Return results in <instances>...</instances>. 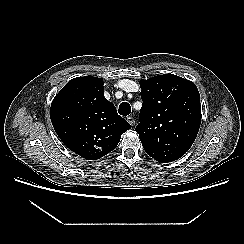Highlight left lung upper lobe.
I'll return each mask as SVG.
<instances>
[{
  "label": "left lung upper lobe",
  "instance_id": "left-lung-upper-lobe-1",
  "mask_svg": "<svg viewBox=\"0 0 244 244\" xmlns=\"http://www.w3.org/2000/svg\"><path fill=\"white\" fill-rule=\"evenodd\" d=\"M143 105L135 128L145 152L158 162H172L192 146L201 124L196 85L174 74L140 80Z\"/></svg>",
  "mask_w": 244,
  "mask_h": 244
}]
</instances>
